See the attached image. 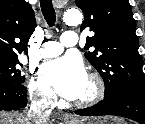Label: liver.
<instances>
[{"label": "liver", "instance_id": "liver-1", "mask_svg": "<svg viewBox=\"0 0 145 124\" xmlns=\"http://www.w3.org/2000/svg\"><path fill=\"white\" fill-rule=\"evenodd\" d=\"M25 119L19 113L0 112V124H26Z\"/></svg>", "mask_w": 145, "mask_h": 124}]
</instances>
